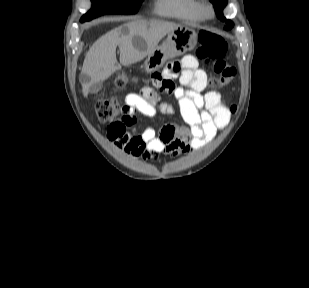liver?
<instances>
[{"label": "liver", "mask_w": 309, "mask_h": 288, "mask_svg": "<svg viewBox=\"0 0 309 288\" xmlns=\"http://www.w3.org/2000/svg\"><path fill=\"white\" fill-rule=\"evenodd\" d=\"M179 25L157 19H134L100 37L86 54L81 74L86 77L82 83L83 95L86 97L92 84L108 79L120 70L122 65L137 63L150 55L159 41ZM134 37H141L146 44L140 50L133 44ZM120 50V63L116 58V48Z\"/></svg>", "instance_id": "6515ba94"}]
</instances>
